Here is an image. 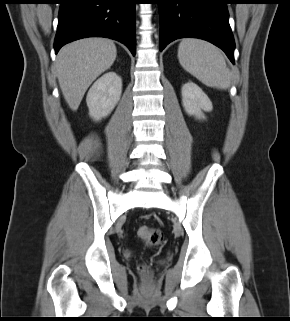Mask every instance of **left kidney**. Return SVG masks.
Returning <instances> with one entry per match:
<instances>
[{"label": "left kidney", "instance_id": "obj_1", "mask_svg": "<svg viewBox=\"0 0 290 321\" xmlns=\"http://www.w3.org/2000/svg\"><path fill=\"white\" fill-rule=\"evenodd\" d=\"M181 95L182 105L188 115L204 119L203 111L210 112L213 109L208 96L193 82H188L182 86Z\"/></svg>", "mask_w": 290, "mask_h": 321}]
</instances>
